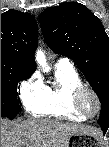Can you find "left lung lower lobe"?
I'll list each match as a JSON object with an SVG mask.
<instances>
[{"label":"left lung lower lobe","instance_id":"obj_1","mask_svg":"<svg viewBox=\"0 0 109 147\" xmlns=\"http://www.w3.org/2000/svg\"><path fill=\"white\" fill-rule=\"evenodd\" d=\"M102 130H103V133L105 134L109 128V125H100Z\"/></svg>","mask_w":109,"mask_h":147}]
</instances>
